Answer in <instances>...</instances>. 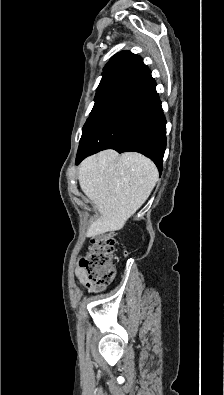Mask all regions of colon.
<instances>
[{
	"label": "colon",
	"mask_w": 224,
	"mask_h": 395,
	"mask_svg": "<svg viewBox=\"0 0 224 395\" xmlns=\"http://www.w3.org/2000/svg\"><path fill=\"white\" fill-rule=\"evenodd\" d=\"M116 244L115 232H103L91 238L88 249L81 259V266L93 282L106 284L114 278L112 260Z\"/></svg>",
	"instance_id": "colon-1"
}]
</instances>
